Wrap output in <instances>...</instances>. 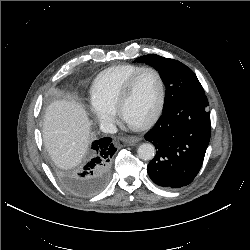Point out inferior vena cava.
<instances>
[{
    "label": "inferior vena cava",
    "instance_id": "obj_1",
    "mask_svg": "<svg viewBox=\"0 0 250 250\" xmlns=\"http://www.w3.org/2000/svg\"><path fill=\"white\" fill-rule=\"evenodd\" d=\"M100 130L104 133L114 134L117 132V127L112 122L104 120L100 123Z\"/></svg>",
    "mask_w": 250,
    "mask_h": 250
}]
</instances>
